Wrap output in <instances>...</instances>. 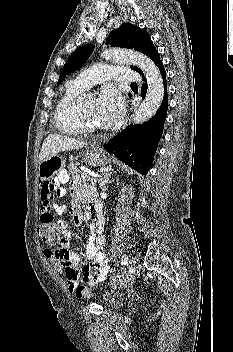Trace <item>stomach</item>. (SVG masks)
Returning <instances> with one entry per match:
<instances>
[{
    "label": "stomach",
    "mask_w": 233,
    "mask_h": 352,
    "mask_svg": "<svg viewBox=\"0 0 233 352\" xmlns=\"http://www.w3.org/2000/svg\"><path fill=\"white\" fill-rule=\"evenodd\" d=\"M84 160L90 166H102L107 164V157L97 147L88 148L84 153ZM65 167V161L58 155L50 156L39 164L38 176L42 181L52 179Z\"/></svg>",
    "instance_id": "0dacf381"
}]
</instances>
